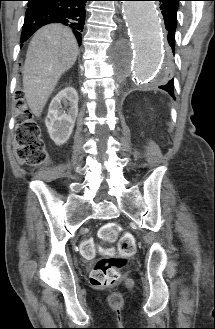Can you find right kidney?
<instances>
[{"label": "right kidney", "instance_id": "ca27d5eb", "mask_svg": "<svg viewBox=\"0 0 215 329\" xmlns=\"http://www.w3.org/2000/svg\"><path fill=\"white\" fill-rule=\"evenodd\" d=\"M77 115L78 93L73 87H66L52 99L45 120L48 133L57 145L67 142L72 134Z\"/></svg>", "mask_w": 215, "mask_h": 329}]
</instances>
